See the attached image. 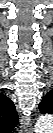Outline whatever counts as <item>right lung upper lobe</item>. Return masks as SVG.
Instances as JSON below:
<instances>
[{
    "label": "right lung upper lobe",
    "mask_w": 53,
    "mask_h": 133,
    "mask_svg": "<svg viewBox=\"0 0 53 133\" xmlns=\"http://www.w3.org/2000/svg\"><path fill=\"white\" fill-rule=\"evenodd\" d=\"M18 123V115L13 102L0 95V128L10 133Z\"/></svg>",
    "instance_id": "obj_1"
}]
</instances>
